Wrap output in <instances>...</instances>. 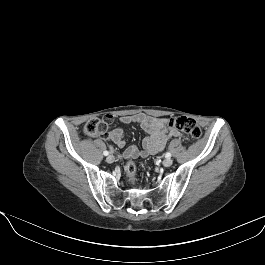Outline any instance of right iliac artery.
<instances>
[{"label":"right iliac artery","instance_id":"obj_1","mask_svg":"<svg viewBox=\"0 0 265 265\" xmlns=\"http://www.w3.org/2000/svg\"><path fill=\"white\" fill-rule=\"evenodd\" d=\"M103 154H104L105 156H107V155H109V152H108V151H104Z\"/></svg>","mask_w":265,"mask_h":265}]
</instances>
